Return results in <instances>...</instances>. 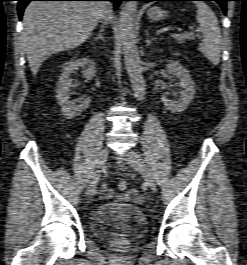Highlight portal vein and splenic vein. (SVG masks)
<instances>
[{
  "label": "portal vein and splenic vein",
  "instance_id": "1",
  "mask_svg": "<svg viewBox=\"0 0 247 265\" xmlns=\"http://www.w3.org/2000/svg\"><path fill=\"white\" fill-rule=\"evenodd\" d=\"M179 31H181V30H179ZM190 34L194 35L193 33H190ZM197 36L200 37L199 35H197Z\"/></svg>",
  "mask_w": 247,
  "mask_h": 265
}]
</instances>
